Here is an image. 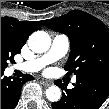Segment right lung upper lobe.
<instances>
[{
  "instance_id": "obj_1",
  "label": "right lung upper lobe",
  "mask_w": 109,
  "mask_h": 109,
  "mask_svg": "<svg viewBox=\"0 0 109 109\" xmlns=\"http://www.w3.org/2000/svg\"><path fill=\"white\" fill-rule=\"evenodd\" d=\"M40 28L41 23L38 21H18L11 17H1V38L20 50L29 35Z\"/></svg>"
}]
</instances>
